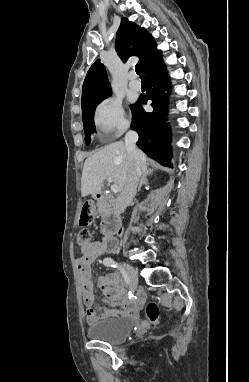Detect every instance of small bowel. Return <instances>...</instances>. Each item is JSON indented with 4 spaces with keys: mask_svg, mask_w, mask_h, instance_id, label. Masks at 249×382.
<instances>
[{
    "mask_svg": "<svg viewBox=\"0 0 249 382\" xmlns=\"http://www.w3.org/2000/svg\"><path fill=\"white\" fill-rule=\"evenodd\" d=\"M119 243L116 239L103 236L100 240L90 241L81 246V256L76 260V268L81 284L85 318L88 324L94 323L98 318L121 317L134 315L141 306V299H129L123 288V283L117 273L102 274L98 277V286L106 295L110 308H102L95 304L94 285L92 281L91 264L106 252H114ZM139 294H142L140 291Z\"/></svg>",
    "mask_w": 249,
    "mask_h": 382,
    "instance_id": "1",
    "label": "small bowel"
}]
</instances>
